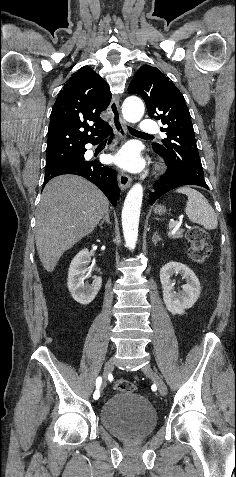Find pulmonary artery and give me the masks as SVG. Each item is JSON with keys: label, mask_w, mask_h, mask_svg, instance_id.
<instances>
[{"label": "pulmonary artery", "mask_w": 236, "mask_h": 477, "mask_svg": "<svg viewBox=\"0 0 236 477\" xmlns=\"http://www.w3.org/2000/svg\"><path fill=\"white\" fill-rule=\"evenodd\" d=\"M139 131L146 134H153L159 131V127L154 121L143 120L140 124Z\"/></svg>", "instance_id": "pulmonary-artery-1"}]
</instances>
